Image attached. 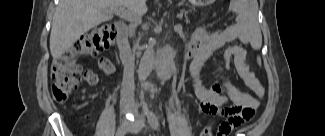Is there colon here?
Returning <instances> with one entry per match:
<instances>
[{
  "mask_svg": "<svg viewBox=\"0 0 325 136\" xmlns=\"http://www.w3.org/2000/svg\"><path fill=\"white\" fill-rule=\"evenodd\" d=\"M115 26L106 25L82 35L62 56L55 59L51 66L52 93L57 101L66 100L79 86L83 69L78 63L85 55H95L109 48L116 37ZM200 136H213L212 127L207 125Z\"/></svg>",
  "mask_w": 325,
  "mask_h": 136,
  "instance_id": "colon-1",
  "label": "colon"
}]
</instances>
